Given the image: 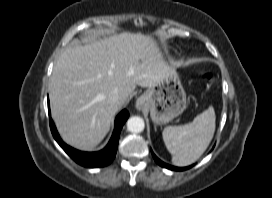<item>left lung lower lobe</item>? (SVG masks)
I'll list each match as a JSON object with an SVG mask.
<instances>
[{
    "label": "left lung lower lobe",
    "instance_id": "1",
    "mask_svg": "<svg viewBox=\"0 0 272 198\" xmlns=\"http://www.w3.org/2000/svg\"><path fill=\"white\" fill-rule=\"evenodd\" d=\"M152 156H153L154 160H155L160 166L165 167V168L170 169V170L182 171V170L189 169V168L191 167V166H189V167H184V168L174 167V166L168 165V164L162 162L161 160H159V159L154 155V153H152Z\"/></svg>",
    "mask_w": 272,
    "mask_h": 198
}]
</instances>
